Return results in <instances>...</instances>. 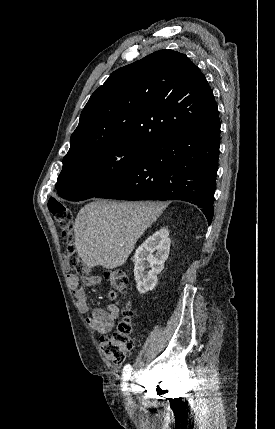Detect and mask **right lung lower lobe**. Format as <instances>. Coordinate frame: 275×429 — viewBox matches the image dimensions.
Masks as SVG:
<instances>
[{
    "instance_id": "1",
    "label": "right lung lower lobe",
    "mask_w": 275,
    "mask_h": 429,
    "mask_svg": "<svg viewBox=\"0 0 275 429\" xmlns=\"http://www.w3.org/2000/svg\"><path fill=\"white\" fill-rule=\"evenodd\" d=\"M220 121L175 131L152 144L135 169L94 197L123 200H183L214 213Z\"/></svg>"
}]
</instances>
